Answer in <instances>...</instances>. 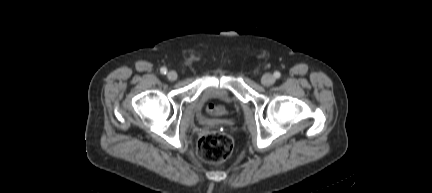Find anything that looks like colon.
<instances>
[{
	"mask_svg": "<svg viewBox=\"0 0 432 193\" xmlns=\"http://www.w3.org/2000/svg\"><path fill=\"white\" fill-rule=\"evenodd\" d=\"M233 146V140L229 135L211 133L199 140L197 153L201 159L217 163L224 161L232 154Z\"/></svg>",
	"mask_w": 432,
	"mask_h": 193,
	"instance_id": "1",
	"label": "colon"
}]
</instances>
